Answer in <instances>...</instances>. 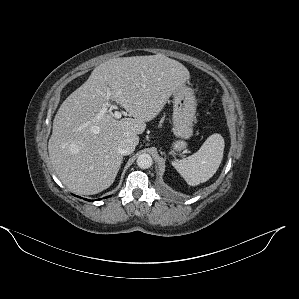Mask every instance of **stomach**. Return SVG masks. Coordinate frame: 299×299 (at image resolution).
<instances>
[{
    "label": "stomach",
    "mask_w": 299,
    "mask_h": 299,
    "mask_svg": "<svg viewBox=\"0 0 299 299\" xmlns=\"http://www.w3.org/2000/svg\"><path fill=\"white\" fill-rule=\"evenodd\" d=\"M196 113V98L193 90L185 84L173 92L172 132L177 140L172 143L173 152L187 148L185 140L193 134Z\"/></svg>",
    "instance_id": "1"
}]
</instances>
